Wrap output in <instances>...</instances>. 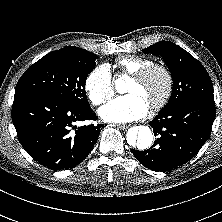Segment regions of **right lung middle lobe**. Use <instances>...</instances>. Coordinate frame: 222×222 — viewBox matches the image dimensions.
<instances>
[{"label":"right lung middle lobe","mask_w":222,"mask_h":222,"mask_svg":"<svg viewBox=\"0 0 222 222\" xmlns=\"http://www.w3.org/2000/svg\"><path fill=\"white\" fill-rule=\"evenodd\" d=\"M96 58L97 55L74 46L53 51L26 70L16 85L15 94H45L89 106L85 82L96 65Z\"/></svg>","instance_id":"1"}]
</instances>
